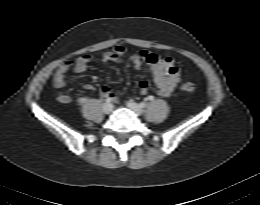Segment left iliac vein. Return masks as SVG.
Returning a JSON list of instances; mask_svg holds the SVG:
<instances>
[{"label": "left iliac vein", "instance_id": "1", "mask_svg": "<svg viewBox=\"0 0 260 205\" xmlns=\"http://www.w3.org/2000/svg\"><path fill=\"white\" fill-rule=\"evenodd\" d=\"M127 107L131 109L137 116H140L142 114V109L139 104L129 101L127 103Z\"/></svg>", "mask_w": 260, "mask_h": 205}]
</instances>
